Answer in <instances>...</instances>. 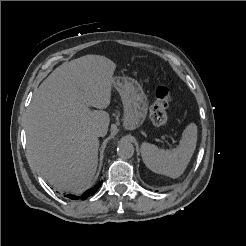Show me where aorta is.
<instances>
[{
  "label": "aorta",
  "instance_id": "1",
  "mask_svg": "<svg viewBox=\"0 0 246 246\" xmlns=\"http://www.w3.org/2000/svg\"><path fill=\"white\" fill-rule=\"evenodd\" d=\"M134 154V146L126 139H122L117 147V155L123 159H129Z\"/></svg>",
  "mask_w": 246,
  "mask_h": 246
}]
</instances>
